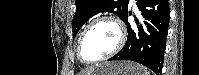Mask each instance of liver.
<instances>
[{
	"label": "liver",
	"mask_w": 199,
	"mask_h": 75,
	"mask_svg": "<svg viewBox=\"0 0 199 75\" xmlns=\"http://www.w3.org/2000/svg\"><path fill=\"white\" fill-rule=\"evenodd\" d=\"M91 72H92V71H88V72H86V75H89Z\"/></svg>",
	"instance_id": "liver-1"
}]
</instances>
